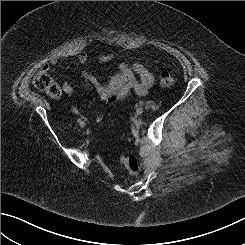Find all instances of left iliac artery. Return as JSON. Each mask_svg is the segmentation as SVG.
<instances>
[{"label": "left iliac artery", "mask_w": 245, "mask_h": 245, "mask_svg": "<svg viewBox=\"0 0 245 245\" xmlns=\"http://www.w3.org/2000/svg\"><path fill=\"white\" fill-rule=\"evenodd\" d=\"M139 104H140L141 106H143V105H144V102H143V101H140Z\"/></svg>", "instance_id": "1"}]
</instances>
